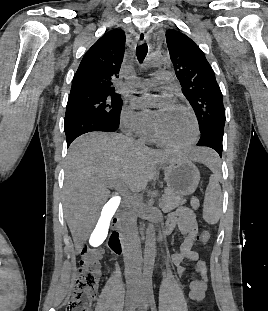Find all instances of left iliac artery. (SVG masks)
<instances>
[{
	"label": "left iliac artery",
	"instance_id": "left-iliac-artery-1",
	"mask_svg": "<svg viewBox=\"0 0 268 311\" xmlns=\"http://www.w3.org/2000/svg\"><path fill=\"white\" fill-rule=\"evenodd\" d=\"M146 286H147V296H148L149 303L151 306V311H156L155 299H154V294H153V284H152L151 279L147 282Z\"/></svg>",
	"mask_w": 268,
	"mask_h": 311
}]
</instances>
